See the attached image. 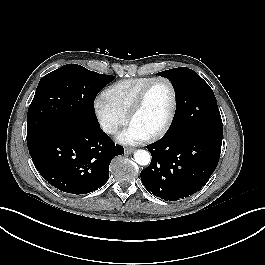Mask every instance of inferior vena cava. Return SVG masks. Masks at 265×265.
Wrapping results in <instances>:
<instances>
[{"instance_id": "1", "label": "inferior vena cava", "mask_w": 265, "mask_h": 265, "mask_svg": "<svg viewBox=\"0 0 265 265\" xmlns=\"http://www.w3.org/2000/svg\"><path fill=\"white\" fill-rule=\"evenodd\" d=\"M103 130L109 134H115L118 131V127L115 125H106Z\"/></svg>"}]
</instances>
